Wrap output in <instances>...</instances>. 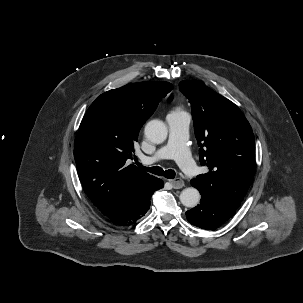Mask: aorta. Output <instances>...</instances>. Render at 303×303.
<instances>
[{
	"mask_svg": "<svg viewBox=\"0 0 303 303\" xmlns=\"http://www.w3.org/2000/svg\"><path fill=\"white\" fill-rule=\"evenodd\" d=\"M144 133L150 142L160 144L166 140L168 130L164 122L160 120H151L146 124ZM200 197V193L196 188L189 187L185 188L180 193L179 198L184 206L193 208L200 202Z\"/></svg>",
	"mask_w": 303,
	"mask_h": 303,
	"instance_id": "762f6f07",
	"label": "aorta"
}]
</instances>
